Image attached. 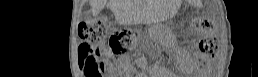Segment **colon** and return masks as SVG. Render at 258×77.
<instances>
[{
	"instance_id": "obj_1",
	"label": "colon",
	"mask_w": 258,
	"mask_h": 77,
	"mask_svg": "<svg viewBox=\"0 0 258 77\" xmlns=\"http://www.w3.org/2000/svg\"><path fill=\"white\" fill-rule=\"evenodd\" d=\"M196 29L201 34L198 43L200 53L208 59H214L218 54L219 42L214 34L213 23L199 18ZM80 36L82 43L79 46V59L86 77H99L101 68L97 54L100 50L108 46L114 53L124 52L136 39L135 33L127 29L109 33V23L103 17L85 22L80 29Z\"/></svg>"
}]
</instances>
